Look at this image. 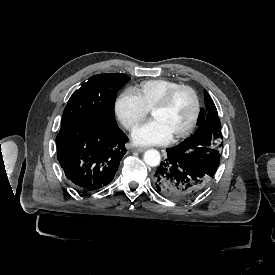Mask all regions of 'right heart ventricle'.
I'll return each instance as SVG.
<instances>
[{"label":"right heart ventricle","instance_id":"1","mask_svg":"<svg viewBox=\"0 0 275 275\" xmlns=\"http://www.w3.org/2000/svg\"><path fill=\"white\" fill-rule=\"evenodd\" d=\"M175 85H177L176 82L168 79H148L136 85L134 87V93L143 105L148 110H151L152 107L162 98L165 92Z\"/></svg>","mask_w":275,"mask_h":275}]
</instances>
